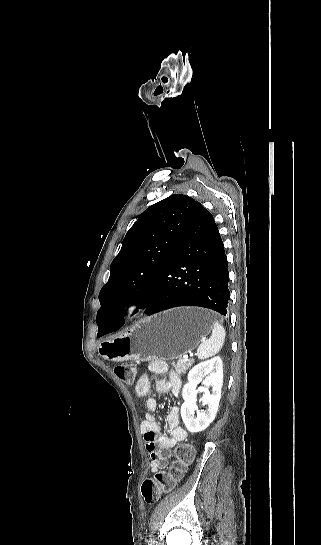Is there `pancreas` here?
<instances>
[{
	"mask_svg": "<svg viewBox=\"0 0 321 545\" xmlns=\"http://www.w3.org/2000/svg\"><path fill=\"white\" fill-rule=\"evenodd\" d=\"M194 363V359H178L176 363H171L172 367H175V371L177 375H185L187 373L188 369L192 367Z\"/></svg>",
	"mask_w": 321,
	"mask_h": 545,
	"instance_id": "obj_1",
	"label": "pancreas"
}]
</instances>
